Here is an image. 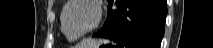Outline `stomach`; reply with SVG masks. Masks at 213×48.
<instances>
[{
    "label": "stomach",
    "instance_id": "1",
    "mask_svg": "<svg viewBox=\"0 0 213 48\" xmlns=\"http://www.w3.org/2000/svg\"><path fill=\"white\" fill-rule=\"evenodd\" d=\"M110 44V41L108 40H103V41H100V42H96L95 44L87 47V48H100L101 46H106V45H109Z\"/></svg>",
    "mask_w": 213,
    "mask_h": 48
}]
</instances>
